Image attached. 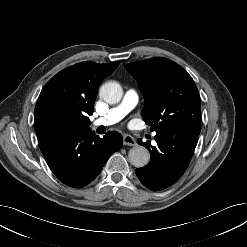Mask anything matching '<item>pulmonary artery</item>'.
Returning a JSON list of instances; mask_svg holds the SVG:
<instances>
[{
  "label": "pulmonary artery",
  "mask_w": 247,
  "mask_h": 247,
  "mask_svg": "<svg viewBox=\"0 0 247 247\" xmlns=\"http://www.w3.org/2000/svg\"><path fill=\"white\" fill-rule=\"evenodd\" d=\"M138 103V96L134 90H128L122 101L115 107L111 108L106 114L93 120L92 125L110 126L122 120Z\"/></svg>",
  "instance_id": "1"
}]
</instances>
